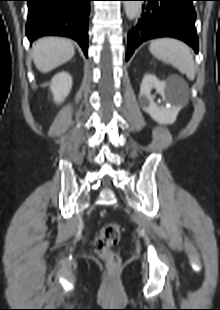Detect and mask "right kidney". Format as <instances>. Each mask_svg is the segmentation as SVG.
Here are the masks:
<instances>
[{"instance_id": "ca27d5eb", "label": "right kidney", "mask_w": 220, "mask_h": 310, "mask_svg": "<svg viewBox=\"0 0 220 310\" xmlns=\"http://www.w3.org/2000/svg\"><path fill=\"white\" fill-rule=\"evenodd\" d=\"M72 88V77L67 72H60L54 75L51 80L50 90L53 93L54 101L62 103L69 95Z\"/></svg>"}]
</instances>
